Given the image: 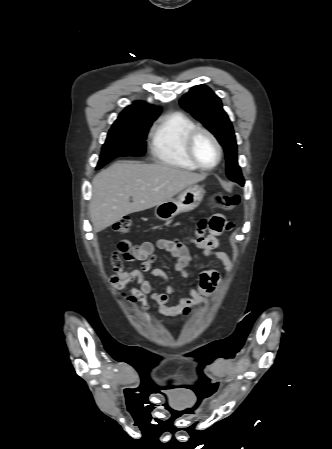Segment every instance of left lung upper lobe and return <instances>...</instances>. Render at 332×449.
<instances>
[{
	"label": "left lung upper lobe",
	"instance_id": "1",
	"mask_svg": "<svg viewBox=\"0 0 332 449\" xmlns=\"http://www.w3.org/2000/svg\"><path fill=\"white\" fill-rule=\"evenodd\" d=\"M180 104L215 135L226 154L227 176L243 186L233 127L222 108L220 98L209 87L197 85L181 98Z\"/></svg>",
	"mask_w": 332,
	"mask_h": 449
}]
</instances>
